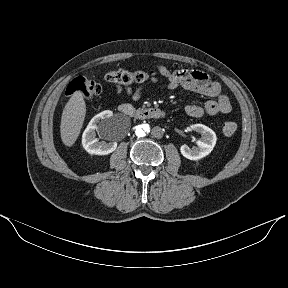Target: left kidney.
Masks as SVG:
<instances>
[{
  "label": "left kidney",
  "instance_id": "obj_1",
  "mask_svg": "<svg viewBox=\"0 0 288 288\" xmlns=\"http://www.w3.org/2000/svg\"><path fill=\"white\" fill-rule=\"evenodd\" d=\"M191 130L201 134V139L197 140L196 147L189 148L187 145H182L181 154L189 160H199L211 153L217 137L215 132L203 124H194L190 126Z\"/></svg>",
  "mask_w": 288,
  "mask_h": 288
}]
</instances>
